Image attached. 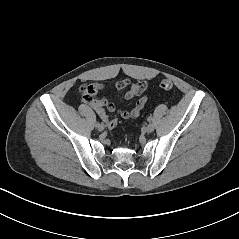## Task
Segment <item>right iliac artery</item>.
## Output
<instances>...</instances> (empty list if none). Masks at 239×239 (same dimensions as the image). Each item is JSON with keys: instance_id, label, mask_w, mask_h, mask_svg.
Masks as SVG:
<instances>
[{"instance_id": "1", "label": "right iliac artery", "mask_w": 239, "mask_h": 239, "mask_svg": "<svg viewBox=\"0 0 239 239\" xmlns=\"http://www.w3.org/2000/svg\"><path fill=\"white\" fill-rule=\"evenodd\" d=\"M99 124H100L99 122H96V123H95V126L97 127Z\"/></svg>"}]
</instances>
